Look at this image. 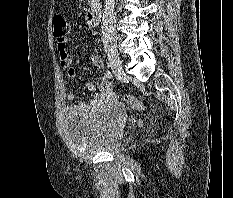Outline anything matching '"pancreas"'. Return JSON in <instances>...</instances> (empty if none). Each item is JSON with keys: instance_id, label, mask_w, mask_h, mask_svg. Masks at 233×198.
<instances>
[{"instance_id": "1", "label": "pancreas", "mask_w": 233, "mask_h": 198, "mask_svg": "<svg viewBox=\"0 0 233 198\" xmlns=\"http://www.w3.org/2000/svg\"><path fill=\"white\" fill-rule=\"evenodd\" d=\"M100 0H88V5L94 6V5H99Z\"/></svg>"}]
</instances>
